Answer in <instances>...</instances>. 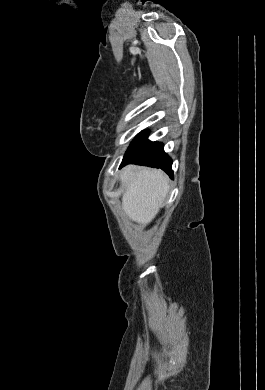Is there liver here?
Instances as JSON below:
<instances>
[{"instance_id": "1", "label": "liver", "mask_w": 265, "mask_h": 390, "mask_svg": "<svg viewBox=\"0 0 265 390\" xmlns=\"http://www.w3.org/2000/svg\"><path fill=\"white\" fill-rule=\"evenodd\" d=\"M121 183L125 187L122 196L125 214L142 226L150 223L169 192L168 177L158 169L129 165L122 170Z\"/></svg>"}]
</instances>
